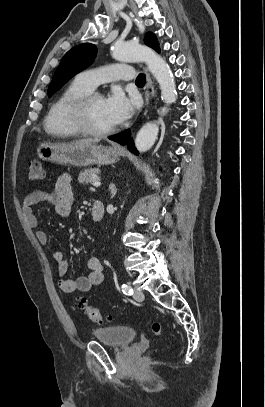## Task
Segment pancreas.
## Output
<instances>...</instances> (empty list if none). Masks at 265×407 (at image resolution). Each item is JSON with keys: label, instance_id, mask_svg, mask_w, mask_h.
<instances>
[{"label": "pancreas", "instance_id": "obj_1", "mask_svg": "<svg viewBox=\"0 0 265 407\" xmlns=\"http://www.w3.org/2000/svg\"><path fill=\"white\" fill-rule=\"evenodd\" d=\"M100 172L98 168H90L80 172L78 181L81 184L91 183L94 180H98L97 174Z\"/></svg>", "mask_w": 265, "mask_h": 407}]
</instances>
